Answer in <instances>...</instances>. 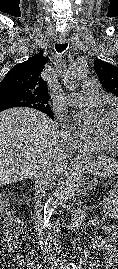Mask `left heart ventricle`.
Instances as JSON below:
<instances>
[{"instance_id": "obj_1", "label": "left heart ventricle", "mask_w": 118, "mask_h": 269, "mask_svg": "<svg viewBox=\"0 0 118 269\" xmlns=\"http://www.w3.org/2000/svg\"><path fill=\"white\" fill-rule=\"evenodd\" d=\"M95 133L100 138L118 143V113L99 118L96 121Z\"/></svg>"}]
</instances>
